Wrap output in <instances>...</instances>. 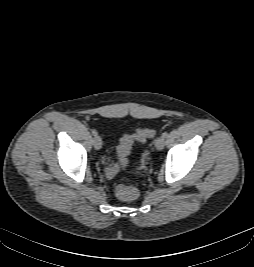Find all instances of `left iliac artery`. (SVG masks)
<instances>
[{"label":"left iliac artery","mask_w":254,"mask_h":267,"mask_svg":"<svg viewBox=\"0 0 254 267\" xmlns=\"http://www.w3.org/2000/svg\"><path fill=\"white\" fill-rule=\"evenodd\" d=\"M168 136V132H164L163 134H162V137H164V138H166Z\"/></svg>","instance_id":"obj_1"}]
</instances>
